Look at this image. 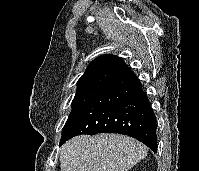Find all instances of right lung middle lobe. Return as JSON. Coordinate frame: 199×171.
Returning a JSON list of instances; mask_svg holds the SVG:
<instances>
[{"mask_svg":"<svg viewBox=\"0 0 199 171\" xmlns=\"http://www.w3.org/2000/svg\"><path fill=\"white\" fill-rule=\"evenodd\" d=\"M114 77L109 75H100L92 77L78 84L76 95L72 101V111L62 129V137L67 129L82 110V108L90 101V99Z\"/></svg>","mask_w":199,"mask_h":171,"instance_id":"right-lung-middle-lobe-1","label":"right lung middle lobe"}]
</instances>
